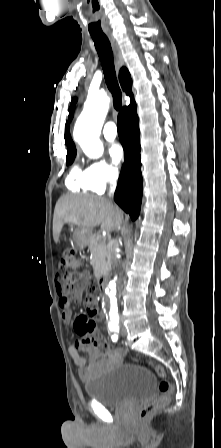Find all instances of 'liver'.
<instances>
[{
  "mask_svg": "<svg viewBox=\"0 0 221 448\" xmlns=\"http://www.w3.org/2000/svg\"><path fill=\"white\" fill-rule=\"evenodd\" d=\"M122 221V211L109 199L86 195H63L55 206L53 238L58 243L65 223L86 229L100 225L102 230L109 233L119 228Z\"/></svg>",
  "mask_w": 221,
  "mask_h": 448,
  "instance_id": "6515ba94",
  "label": "liver"
}]
</instances>
